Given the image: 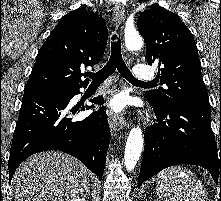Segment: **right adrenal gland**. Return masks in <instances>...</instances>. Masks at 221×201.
Instances as JSON below:
<instances>
[{
	"label": "right adrenal gland",
	"instance_id": "obj_1",
	"mask_svg": "<svg viewBox=\"0 0 221 201\" xmlns=\"http://www.w3.org/2000/svg\"><path fill=\"white\" fill-rule=\"evenodd\" d=\"M90 194V188L85 192V195H89Z\"/></svg>",
	"mask_w": 221,
	"mask_h": 201
}]
</instances>
